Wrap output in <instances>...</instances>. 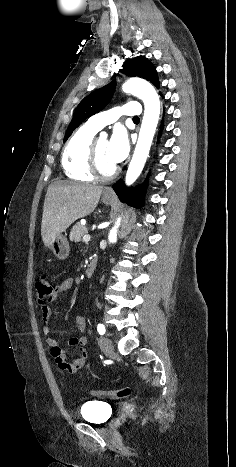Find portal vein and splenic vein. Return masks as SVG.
<instances>
[{
  "label": "portal vein and splenic vein",
  "mask_w": 236,
  "mask_h": 467,
  "mask_svg": "<svg viewBox=\"0 0 236 467\" xmlns=\"http://www.w3.org/2000/svg\"><path fill=\"white\" fill-rule=\"evenodd\" d=\"M90 238H91L90 235L86 234V235L83 236V241L84 242H89Z\"/></svg>",
  "instance_id": "1"
}]
</instances>
